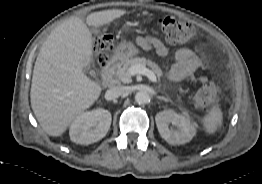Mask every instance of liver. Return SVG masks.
Returning a JSON list of instances; mask_svg holds the SVG:
<instances>
[{"mask_svg": "<svg viewBox=\"0 0 262 184\" xmlns=\"http://www.w3.org/2000/svg\"><path fill=\"white\" fill-rule=\"evenodd\" d=\"M126 14L112 9L89 14L86 23L100 27ZM78 17L57 26L37 56L30 91L31 107L42 129L61 136L72 121L100 96L102 87L84 74L93 60L91 31Z\"/></svg>", "mask_w": 262, "mask_h": 184, "instance_id": "obj_1", "label": "liver"}]
</instances>
